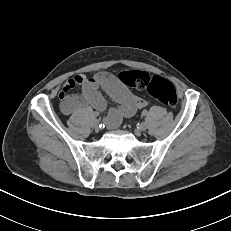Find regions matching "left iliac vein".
Masks as SVG:
<instances>
[{
  "instance_id": "obj_1",
  "label": "left iliac vein",
  "mask_w": 231,
  "mask_h": 231,
  "mask_svg": "<svg viewBox=\"0 0 231 231\" xmlns=\"http://www.w3.org/2000/svg\"><path fill=\"white\" fill-rule=\"evenodd\" d=\"M147 129V124L145 122L141 123L139 126H138V132H143Z\"/></svg>"
}]
</instances>
